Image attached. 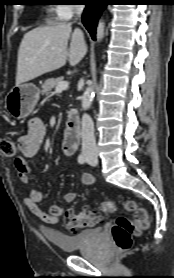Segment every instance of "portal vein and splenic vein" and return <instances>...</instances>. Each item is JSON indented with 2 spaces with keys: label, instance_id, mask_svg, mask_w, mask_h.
<instances>
[{
  "label": "portal vein and splenic vein",
  "instance_id": "1",
  "mask_svg": "<svg viewBox=\"0 0 174 278\" xmlns=\"http://www.w3.org/2000/svg\"><path fill=\"white\" fill-rule=\"evenodd\" d=\"M68 87H69V83L67 81H62L56 86L55 91L61 92V91L66 90Z\"/></svg>",
  "mask_w": 174,
  "mask_h": 278
}]
</instances>
